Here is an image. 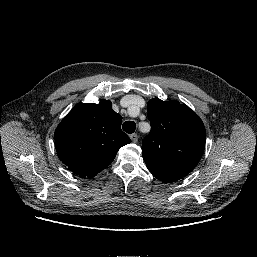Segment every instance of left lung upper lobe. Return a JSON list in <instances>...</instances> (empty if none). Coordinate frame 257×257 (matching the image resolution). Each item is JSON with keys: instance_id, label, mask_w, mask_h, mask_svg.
I'll list each match as a JSON object with an SVG mask.
<instances>
[{"instance_id": "obj_1", "label": "left lung upper lobe", "mask_w": 257, "mask_h": 257, "mask_svg": "<svg viewBox=\"0 0 257 257\" xmlns=\"http://www.w3.org/2000/svg\"><path fill=\"white\" fill-rule=\"evenodd\" d=\"M151 131L142 142V155L150 171L183 178L202 157L206 130L202 120L178 101L151 99L147 105Z\"/></svg>"}]
</instances>
